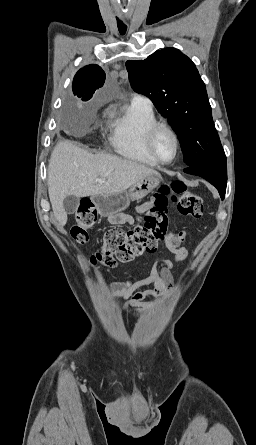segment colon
I'll return each instance as SVG.
<instances>
[{"instance_id":"1","label":"colon","mask_w":256,"mask_h":445,"mask_svg":"<svg viewBox=\"0 0 256 445\" xmlns=\"http://www.w3.org/2000/svg\"><path fill=\"white\" fill-rule=\"evenodd\" d=\"M170 199L176 202L181 215L195 219L202 217L204 203L198 194L188 191L180 181L163 184L155 193L152 206L145 213L142 223L129 230H108L103 237L101 251L92 255V259L113 267L118 262H128L143 253L154 252L167 239V207ZM74 217L71 236L77 243L85 244L89 237L88 230L98 222L93 204L90 201L82 202Z\"/></svg>"}]
</instances>
